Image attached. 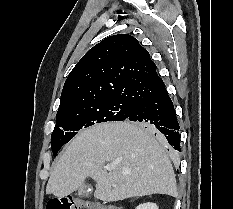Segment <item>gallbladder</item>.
Here are the masks:
<instances>
[{"mask_svg":"<svg viewBox=\"0 0 233 209\" xmlns=\"http://www.w3.org/2000/svg\"><path fill=\"white\" fill-rule=\"evenodd\" d=\"M90 186L89 185H83L78 189V195L82 197L89 196L91 191H89Z\"/></svg>","mask_w":233,"mask_h":209,"instance_id":"1","label":"gallbladder"}]
</instances>
